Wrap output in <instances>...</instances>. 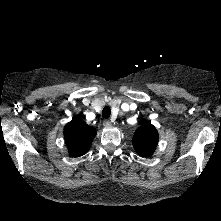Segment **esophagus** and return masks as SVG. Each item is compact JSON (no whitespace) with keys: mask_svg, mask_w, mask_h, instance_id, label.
Returning a JSON list of instances; mask_svg holds the SVG:
<instances>
[{"mask_svg":"<svg viewBox=\"0 0 221 221\" xmlns=\"http://www.w3.org/2000/svg\"><path fill=\"white\" fill-rule=\"evenodd\" d=\"M103 125H104V127H110L112 125V123L109 120H104Z\"/></svg>","mask_w":221,"mask_h":221,"instance_id":"34e87169","label":"esophagus"}]
</instances>
